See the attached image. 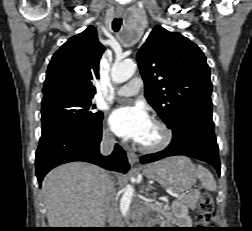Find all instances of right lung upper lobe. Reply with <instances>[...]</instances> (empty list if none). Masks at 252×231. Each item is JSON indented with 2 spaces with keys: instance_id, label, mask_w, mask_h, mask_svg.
I'll list each match as a JSON object with an SVG mask.
<instances>
[{
  "instance_id": "right-lung-upper-lobe-1",
  "label": "right lung upper lobe",
  "mask_w": 252,
  "mask_h": 231,
  "mask_svg": "<svg viewBox=\"0 0 252 231\" xmlns=\"http://www.w3.org/2000/svg\"><path fill=\"white\" fill-rule=\"evenodd\" d=\"M104 50L93 26L68 39L49 63L43 99L58 94L93 97L96 88L92 81L99 78V61Z\"/></svg>"
}]
</instances>
